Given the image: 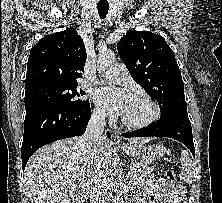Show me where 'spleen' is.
Segmentation results:
<instances>
[{
  "mask_svg": "<svg viewBox=\"0 0 222 203\" xmlns=\"http://www.w3.org/2000/svg\"><path fill=\"white\" fill-rule=\"evenodd\" d=\"M180 161L182 170L179 174V177L183 182L189 184L193 181L194 178V165L188 151L182 150Z\"/></svg>",
  "mask_w": 222,
  "mask_h": 203,
  "instance_id": "1",
  "label": "spleen"
}]
</instances>
